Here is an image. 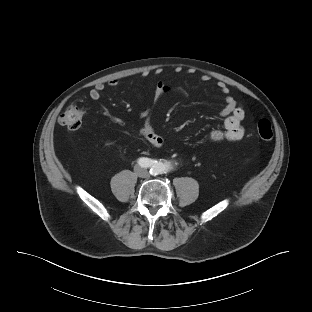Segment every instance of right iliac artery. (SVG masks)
<instances>
[{
	"label": "right iliac artery",
	"mask_w": 312,
	"mask_h": 312,
	"mask_svg": "<svg viewBox=\"0 0 312 312\" xmlns=\"http://www.w3.org/2000/svg\"><path fill=\"white\" fill-rule=\"evenodd\" d=\"M154 163L155 162L149 158L142 157V158L138 159V164L143 168H149V167L153 166Z\"/></svg>",
	"instance_id": "right-iliac-artery-1"
}]
</instances>
